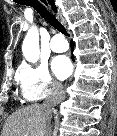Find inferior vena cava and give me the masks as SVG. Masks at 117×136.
<instances>
[{
    "label": "inferior vena cava",
    "instance_id": "inferior-vena-cava-1",
    "mask_svg": "<svg viewBox=\"0 0 117 136\" xmlns=\"http://www.w3.org/2000/svg\"><path fill=\"white\" fill-rule=\"evenodd\" d=\"M65 98V91L60 83H53L50 95L46 98L43 106L46 114L47 136H56L54 127L55 114L54 107Z\"/></svg>",
    "mask_w": 117,
    "mask_h": 136
}]
</instances>
